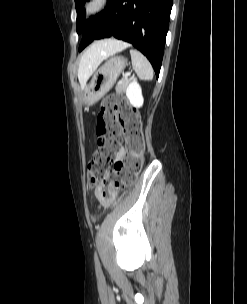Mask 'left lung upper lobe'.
<instances>
[{"label":"left lung upper lobe","instance_id":"left-lung-upper-lobe-1","mask_svg":"<svg viewBox=\"0 0 247 304\" xmlns=\"http://www.w3.org/2000/svg\"><path fill=\"white\" fill-rule=\"evenodd\" d=\"M87 0H75L76 3V11H77V33H82L87 27L92 24H95L99 21L102 13L96 15L95 17H91L89 20H85V10L83 6Z\"/></svg>","mask_w":247,"mask_h":304}]
</instances>
